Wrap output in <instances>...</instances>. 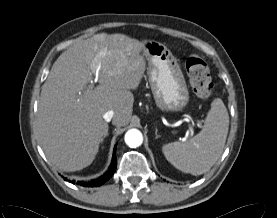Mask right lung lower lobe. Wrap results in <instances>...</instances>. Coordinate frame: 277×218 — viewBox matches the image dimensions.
Masks as SVG:
<instances>
[{
    "mask_svg": "<svg viewBox=\"0 0 277 218\" xmlns=\"http://www.w3.org/2000/svg\"><path fill=\"white\" fill-rule=\"evenodd\" d=\"M116 151V146L114 148V153ZM113 153V157H112V163L108 169V171L102 175L101 177H99L98 179L95 180H91L88 182H84V181H78L77 184L82 185V186H86V187H98L102 184H104L107 180H109L112 175L114 174L116 167H117V161H116V155ZM65 180H67V178H65ZM71 183H75V181H70Z\"/></svg>",
    "mask_w": 277,
    "mask_h": 218,
    "instance_id": "right-lung-lower-lobe-1",
    "label": "right lung lower lobe"
}]
</instances>
